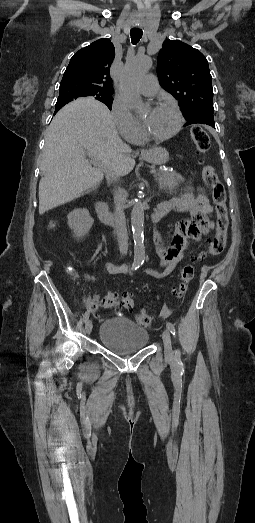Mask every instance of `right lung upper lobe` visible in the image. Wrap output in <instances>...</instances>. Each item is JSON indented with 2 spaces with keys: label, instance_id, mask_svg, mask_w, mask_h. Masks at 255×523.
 I'll return each mask as SVG.
<instances>
[{
  "label": "right lung upper lobe",
  "instance_id": "right-lung-upper-lobe-1",
  "mask_svg": "<svg viewBox=\"0 0 255 523\" xmlns=\"http://www.w3.org/2000/svg\"><path fill=\"white\" fill-rule=\"evenodd\" d=\"M114 57L115 48L109 39H99L79 50L64 72L59 92L112 95L110 66ZM65 104L66 102L57 101L55 113Z\"/></svg>",
  "mask_w": 255,
  "mask_h": 523
}]
</instances>
